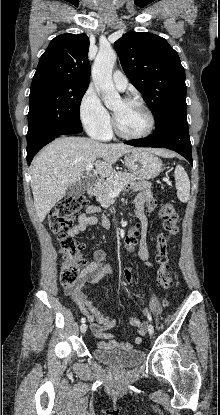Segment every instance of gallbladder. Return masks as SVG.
Instances as JSON below:
<instances>
[{
    "instance_id": "1",
    "label": "gallbladder",
    "mask_w": 220,
    "mask_h": 415,
    "mask_svg": "<svg viewBox=\"0 0 220 415\" xmlns=\"http://www.w3.org/2000/svg\"><path fill=\"white\" fill-rule=\"evenodd\" d=\"M88 182L85 179H80L74 184L70 185L66 190V196L78 197L87 190Z\"/></svg>"
}]
</instances>
